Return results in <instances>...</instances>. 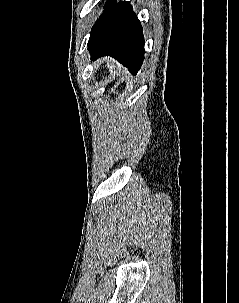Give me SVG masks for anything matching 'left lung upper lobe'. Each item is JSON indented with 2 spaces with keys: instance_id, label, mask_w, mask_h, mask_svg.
Here are the masks:
<instances>
[{
  "instance_id": "5c2ea615",
  "label": "left lung upper lobe",
  "mask_w": 239,
  "mask_h": 303,
  "mask_svg": "<svg viewBox=\"0 0 239 303\" xmlns=\"http://www.w3.org/2000/svg\"><path fill=\"white\" fill-rule=\"evenodd\" d=\"M115 3H116L115 0H107L106 4L104 6V11L101 14V16L99 17V19L96 21L95 25L92 28V31L99 25V23L102 20V18L107 14V12L113 7V5Z\"/></svg>"
}]
</instances>
